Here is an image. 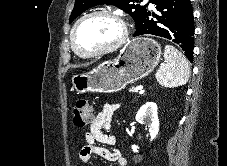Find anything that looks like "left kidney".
Instances as JSON below:
<instances>
[{"label":"left kidney","instance_id":"5707ae66","mask_svg":"<svg viewBox=\"0 0 227 166\" xmlns=\"http://www.w3.org/2000/svg\"><path fill=\"white\" fill-rule=\"evenodd\" d=\"M136 121L140 124L148 125L150 133V141H153L159 132V119L157 113V105L154 102L145 103L136 114ZM139 147L132 145L133 152L137 153Z\"/></svg>","mask_w":227,"mask_h":166}]
</instances>
